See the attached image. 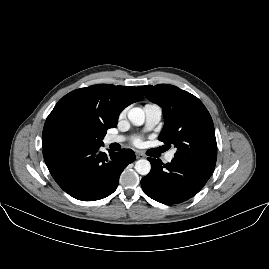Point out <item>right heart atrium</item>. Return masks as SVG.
Instances as JSON below:
<instances>
[{"mask_svg":"<svg viewBox=\"0 0 269 269\" xmlns=\"http://www.w3.org/2000/svg\"><path fill=\"white\" fill-rule=\"evenodd\" d=\"M126 113V110H124L122 113H121V115H124Z\"/></svg>","mask_w":269,"mask_h":269,"instance_id":"obj_1","label":"right heart atrium"}]
</instances>
